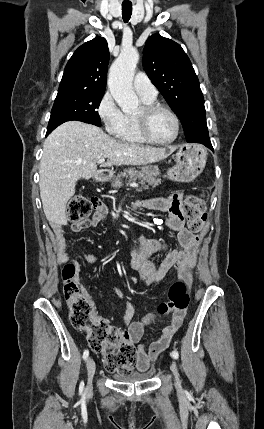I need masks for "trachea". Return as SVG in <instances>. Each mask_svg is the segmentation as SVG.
I'll list each match as a JSON object with an SVG mask.
<instances>
[{
  "label": "trachea",
  "mask_w": 264,
  "mask_h": 429,
  "mask_svg": "<svg viewBox=\"0 0 264 429\" xmlns=\"http://www.w3.org/2000/svg\"><path fill=\"white\" fill-rule=\"evenodd\" d=\"M132 14V4H122V18L124 22H128Z\"/></svg>",
  "instance_id": "trachea-1"
}]
</instances>
